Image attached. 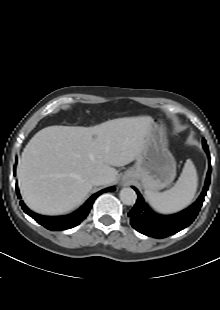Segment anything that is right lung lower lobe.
<instances>
[{
  "label": "right lung lower lobe",
  "mask_w": 220,
  "mask_h": 310,
  "mask_svg": "<svg viewBox=\"0 0 220 310\" xmlns=\"http://www.w3.org/2000/svg\"><path fill=\"white\" fill-rule=\"evenodd\" d=\"M15 170L16 169L14 167V174H15ZM114 190H115L114 187H109V188L103 189L95 193L77 211L73 212L72 214L66 215V216H55V217L42 216L28 209L26 205L23 203V201H20V205L25 213H27L36 222H38L45 228L51 231L65 230V229H70V228H73L79 225L87 217L88 213L90 212V209L92 208L93 202L100 194L105 193V192H112ZM16 191H17L18 198H21L17 184H16Z\"/></svg>",
  "instance_id": "98d812e1"
}]
</instances>
